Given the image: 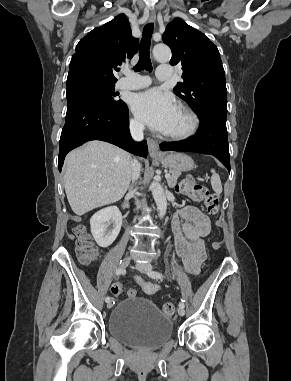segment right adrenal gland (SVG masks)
<instances>
[{
  "mask_svg": "<svg viewBox=\"0 0 291 381\" xmlns=\"http://www.w3.org/2000/svg\"><path fill=\"white\" fill-rule=\"evenodd\" d=\"M132 189V186H130L129 190Z\"/></svg>",
  "mask_w": 291,
  "mask_h": 381,
  "instance_id": "obj_1",
  "label": "right adrenal gland"
}]
</instances>
